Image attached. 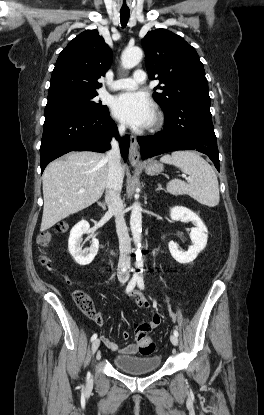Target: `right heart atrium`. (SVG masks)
Instances as JSON below:
<instances>
[{"label":"right heart atrium","instance_id":"right-heart-atrium-1","mask_svg":"<svg viewBox=\"0 0 264 415\" xmlns=\"http://www.w3.org/2000/svg\"><path fill=\"white\" fill-rule=\"evenodd\" d=\"M118 129L119 130H124L125 129V126H124V124H122V123H118Z\"/></svg>","mask_w":264,"mask_h":415}]
</instances>
